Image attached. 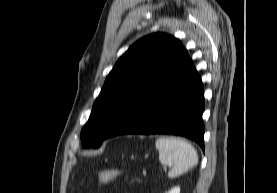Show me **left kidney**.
Returning <instances> with one entry per match:
<instances>
[{"label":"left kidney","mask_w":277,"mask_h":193,"mask_svg":"<svg viewBox=\"0 0 277 193\" xmlns=\"http://www.w3.org/2000/svg\"><path fill=\"white\" fill-rule=\"evenodd\" d=\"M166 193H180V187H174Z\"/></svg>","instance_id":"5707ae66"}]
</instances>
